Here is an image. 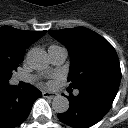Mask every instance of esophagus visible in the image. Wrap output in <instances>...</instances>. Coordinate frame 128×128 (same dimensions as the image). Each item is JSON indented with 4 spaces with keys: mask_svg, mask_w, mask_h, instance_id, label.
Returning a JSON list of instances; mask_svg holds the SVG:
<instances>
[{
    "mask_svg": "<svg viewBox=\"0 0 128 128\" xmlns=\"http://www.w3.org/2000/svg\"><path fill=\"white\" fill-rule=\"evenodd\" d=\"M42 95H43V97H45V98H51V99H53V98H55V97L57 96L56 93H54V92H49V91H44V92L42 93Z\"/></svg>",
    "mask_w": 128,
    "mask_h": 128,
    "instance_id": "34e87169",
    "label": "esophagus"
}]
</instances>
